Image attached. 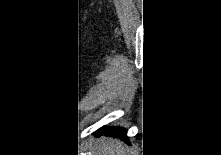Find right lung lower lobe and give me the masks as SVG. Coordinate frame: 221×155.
I'll return each instance as SVG.
<instances>
[{
  "label": "right lung lower lobe",
  "mask_w": 221,
  "mask_h": 155,
  "mask_svg": "<svg viewBox=\"0 0 221 155\" xmlns=\"http://www.w3.org/2000/svg\"><path fill=\"white\" fill-rule=\"evenodd\" d=\"M106 135V136H113V137H118L124 140L126 143L130 144L129 137L127 136V130L123 129L121 127H111L109 128L108 126H103L100 128L97 132L96 135Z\"/></svg>",
  "instance_id": "1"
}]
</instances>
